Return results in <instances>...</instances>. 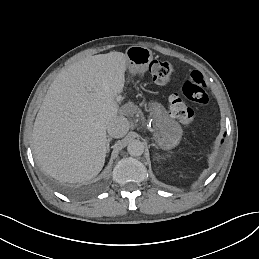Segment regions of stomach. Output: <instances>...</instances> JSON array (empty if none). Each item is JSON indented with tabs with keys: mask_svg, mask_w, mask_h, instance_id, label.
<instances>
[{
	"mask_svg": "<svg viewBox=\"0 0 259 259\" xmlns=\"http://www.w3.org/2000/svg\"><path fill=\"white\" fill-rule=\"evenodd\" d=\"M128 61L136 67H146L151 62L152 51L144 46H130L126 50Z\"/></svg>",
	"mask_w": 259,
	"mask_h": 259,
	"instance_id": "1",
	"label": "stomach"
}]
</instances>
